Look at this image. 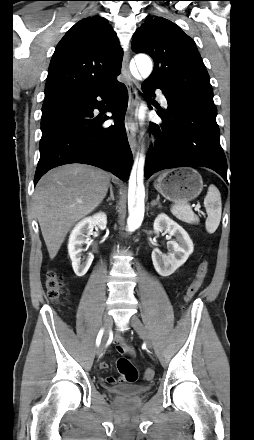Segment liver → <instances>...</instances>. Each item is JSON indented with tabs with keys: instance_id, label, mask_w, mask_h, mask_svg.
<instances>
[{
	"instance_id": "obj_1",
	"label": "liver",
	"mask_w": 254,
	"mask_h": 440,
	"mask_svg": "<svg viewBox=\"0 0 254 440\" xmlns=\"http://www.w3.org/2000/svg\"><path fill=\"white\" fill-rule=\"evenodd\" d=\"M110 175L83 164H67L47 172L33 195L36 216L51 259L67 233L105 198Z\"/></svg>"
}]
</instances>
